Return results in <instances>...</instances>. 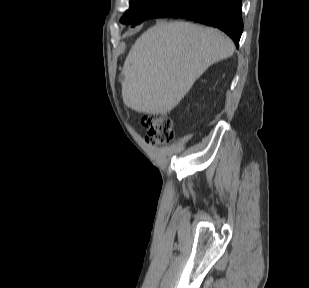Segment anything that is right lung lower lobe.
<instances>
[{
	"mask_svg": "<svg viewBox=\"0 0 309 288\" xmlns=\"http://www.w3.org/2000/svg\"><path fill=\"white\" fill-rule=\"evenodd\" d=\"M242 0H170L149 18L180 17L214 26L234 41L236 47L243 30Z\"/></svg>",
	"mask_w": 309,
	"mask_h": 288,
	"instance_id": "obj_1",
	"label": "right lung lower lobe"
}]
</instances>
